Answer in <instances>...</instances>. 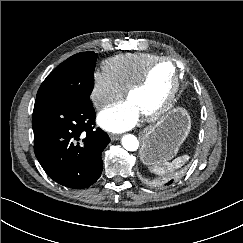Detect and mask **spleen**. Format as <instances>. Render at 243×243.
<instances>
[{
  "mask_svg": "<svg viewBox=\"0 0 243 243\" xmlns=\"http://www.w3.org/2000/svg\"><path fill=\"white\" fill-rule=\"evenodd\" d=\"M188 160L189 156L183 155L175 158L172 162H164L150 166L149 170L156 175H165L168 172H172L174 169L180 168Z\"/></svg>",
  "mask_w": 243,
  "mask_h": 243,
  "instance_id": "1",
  "label": "spleen"
}]
</instances>
